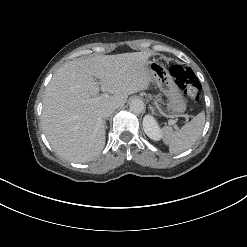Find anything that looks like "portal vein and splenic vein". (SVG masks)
<instances>
[{
  "mask_svg": "<svg viewBox=\"0 0 247 247\" xmlns=\"http://www.w3.org/2000/svg\"><path fill=\"white\" fill-rule=\"evenodd\" d=\"M108 96H109L108 93H104V94H102V96H100V97H101V98H105V97H108ZM85 102H92V99H90V100H88V101H85ZM169 123H170L171 125H174V127L177 129V127L175 126V121L170 120Z\"/></svg>",
  "mask_w": 247,
  "mask_h": 247,
  "instance_id": "1",
  "label": "portal vein and splenic vein"
}]
</instances>
